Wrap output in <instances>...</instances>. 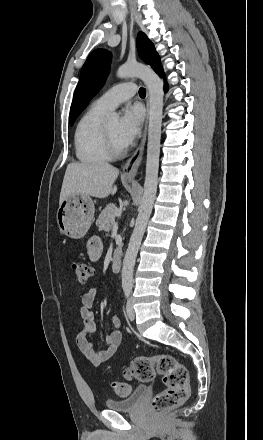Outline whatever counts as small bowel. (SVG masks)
Returning <instances> with one entry per match:
<instances>
[{"mask_svg":"<svg viewBox=\"0 0 263 440\" xmlns=\"http://www.w3.org/2000/svg\"><path fill=\"white\" fill-rule=\"evenodd\" d=\"M103 252V244L99 237L94 236L87 243V256L90 261L100 259ZM97 295V288H90L82 294L80 302V316L83 327L76 336V345L82 355L94 366H98L110 359L118 350L122 342V333L119 330L120 319L114 314L110 317L113 329L105 337L106 346L100 351H95L92 337L96 330L92 306Z\"/></svg>","mask_w":263,"mask_h":440,"instance_id":"small-bowel-1","label":"small bowel"}]
</instances>
